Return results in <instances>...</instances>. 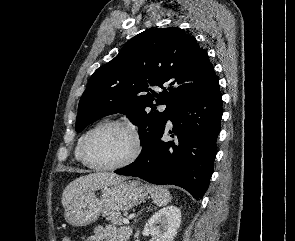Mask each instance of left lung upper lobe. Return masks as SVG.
Listing matches in <instances>:
<instances>
[{"instance_id":"obj_1","label":"left lung upper lobe","mask_w":295,"mask_h":241,"mask_svg":"<svg viewBox=\"0 0 295 241\" xmlns=\"http://www.w3.org/2000/svg\"><path fill=\"white\" fill-rule=\"evenodd\" d=\"M216 77L195 37L177 27L146 30L92 74L79 102L76 131L106 115L123 113L138 125L144 149L175 108ZM153 86L163 91L158 94ZM153 101L166 109L156 111Z\"/></svg>"}]
</instances>
